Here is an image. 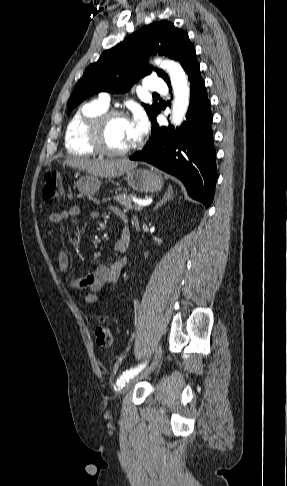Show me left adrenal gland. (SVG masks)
I'll return each instance as SVG.
<instances>
[{
  "instance_id": "left-adrenal-gland-1",
  "label": "left adrenal gland",
  "mask_w": 287,
  "mask_h": 486,
  "mask_svg": "<svg viewBox=\"0 0 287 486\" xmlns=\"http://www.w3.org/2000/svg\"><path fill=\"white\" fill-rule=\"evenodd\" d=\"M173 188L171 186L168 187L167 191L165 192L162 200H160L154 207V210H157L159 207H161L163 204H165L167 201L173 199Z\"/></svg>"
}]
</instances>
